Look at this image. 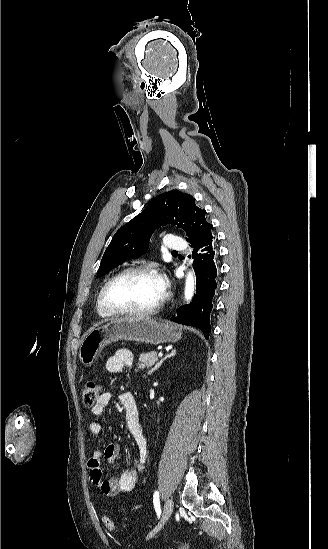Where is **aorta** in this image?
I'll list each match as a JSON object with an SVG mask.
<instances>
[{"label": "aorta", "instance_id": "aorta-1", "mask_svg": "<svg viewBox=\"0 0 328 549\" xmlns=\"http://www.w3.org/2000/svg\"><path fill=\"white\" fill-rule=\"evenodd\" d=\"M195 290V279L192 272H189L187 275L186 283H185V299L188 302L191 301Z\"/></svg>", "mask_w": 328, "mask_h": 549}]
</instances>
